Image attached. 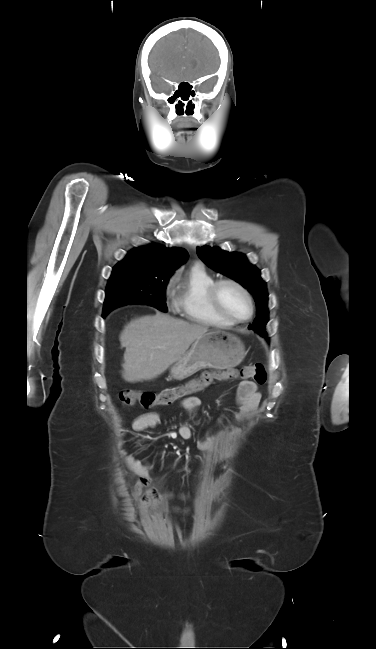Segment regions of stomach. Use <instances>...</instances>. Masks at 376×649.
<instances>
[{"mask_svg": "<svg viewBox=\"0 0 376 649\" xmlns=\"http://www.w3.org/2000/svg\"><path fill=\"white\" fill-rule=\"evenodd\" d=\"M245 356L244 344L236 335L208 331L197 338L190 350L175 362L170 374L176 380H184L205 368L230 369L239 365Z\"/></svg>", "mask_w": 376, "mask_h": 649, "instance_id": "0dacf381", "label": "stomach"}]
</instances>
